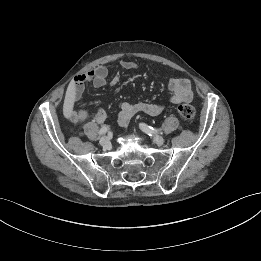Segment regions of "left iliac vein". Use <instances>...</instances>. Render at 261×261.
I'll return each mask as SVG.
<instances>
[{"instance_id": "4c4485c4", "label": "left iliac vein", "mask_w": 261, "mask_h": 261, "mask_svg": "<svg viewBox=\"0 0 261 261\" xmlns=\"http://www.w3.org/2000/svg\"><path fill=\"white\" fill-rule=\"evenodd\" d=\"M154 142H155L157 145L161 146V145H163V143H164V138L161 137L160 135H154Z\"/></svg>"}]
</instances>
